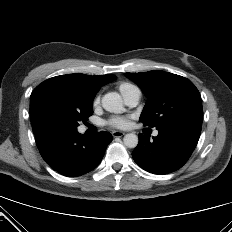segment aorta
<instances>
[{
    "label": "aorta",
    "mask_w": 232,
    "mask_h": 232,
    "mask_svg": "<svg viewBox=\"0 0 232 232\" xmlns=\"http://www.w3.org/2000/svg\"><path fill=\"white\" fill-rule=\"evenodd\" d=\"M102 107L111 113H123L125 111L121 96L116 92H110L102 97ZM124 145L135 148L138 145V136L133 133L126 134L123 138Z\"/></svg>",
    "instance_id": "aorta-1"
}]
</instances>
